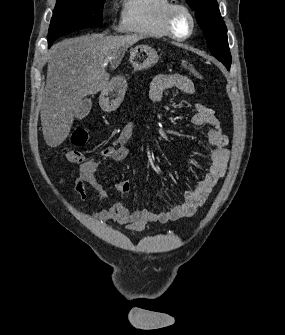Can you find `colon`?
I'll return each instance as SVG.
<instances>
[{
  "instance_id": "obj_1",
  "label": "colon",
  "mask_w": 285,
  "mask_h": 335,
  "mask_svg": "<svg viewBox=\"0 0 285 335\" xmlns=\"http://www.w3.org/2000/svg\"><path fill=\"white\" fill-rule=\"evenodd\" d=\"M184 69L189 71L193 76L200 80H205L202 73L189 61H182ZM89 137V131L87 128L81 127L74 130L71 135V144L73 148L68 150L66 158L69 162L74 164H83L85 162L84 154L81 148L86 144Z\"/></svg>"
}]
</instances>
